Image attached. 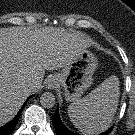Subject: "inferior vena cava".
Here are the masks:
<instances>
[{
  "instance_id": "1",
  "label": "inferior vena cava",
  "mask_w": 135,
  "mask_h": 135,
  "mask_svg": "<svg viewBox=\"0 0 135 135\" xmlns=\"http://www.w3.org/2000/svg\"><path fill=\"white\" fill-rule=\"evenodd\" d=\"M34 87V83H28L27 84V89H32Z\"/></svg>"
}]
</instances>
